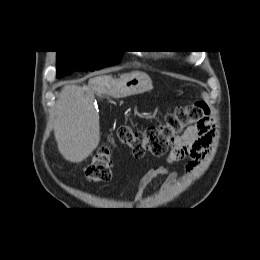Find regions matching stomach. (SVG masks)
I'll list each match as a JSON object with an SVG mask.
<instances>
[{
    "instance_id": "stomach-1",
    "label": "stomach",
    "mask_w": 260,
    "mask_h": 260,
    "mask_svg": "<svg viewBox=\"0 0 260 260\" xmlns=\"http://www.w3.org/2000/svg\"><path fill=\"white\" fill-rule=\"evenodd\" d=\"M153 88L152 80L144 73L124 75L113 86L112 96L123 98L131 95L142 94Z\"/></svg>"
}]
</instances>
